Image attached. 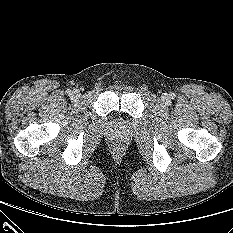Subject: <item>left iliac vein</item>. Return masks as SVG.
Instances as JSON below:
<instances>
[{
	"label": "left iliac vein",
	"mask_w": 233,
	"mask_h": 233,
	"mask_svg": "<svg viewBox=\"0 0 233 233\" xmlns=\"http://www.w3.org/2000/svg\"><path fill=\"white\" fill-rule=\"evenodd\" d=\"M162 101H163L164 103H167V102L169 101V96H168L167 94H164V95L162 96Z\"/></svg>",
	"instance_id": "left-iliac-vein-1"
}]
</instances>
